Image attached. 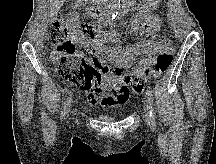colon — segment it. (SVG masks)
Masks as SVG:
<instances>
[{
    "mask_svg": "<svg viewBox=\"0 0 216 164\" xmlns=\"http://www.w3.org/2000/svg\"><path fill=\"white\" fill-rule=\"evenodd\" d=\"M78 27V22L70 16H58L52 19L50 22L51 40L55 48L50 57L61 77L78 88L91 92L101 86L106 67L76 53L73 35ZM172 62L173 55L169 46L157 56L152 65L142 67L132 76L130 86L133 91L142 92L147 80L165 72Z\"/></svg>",
    "mask_w": 216,
    "mask_h": 164,
    "instance_id": "obj_1",
    "label": "colon"
}]
</instances>
